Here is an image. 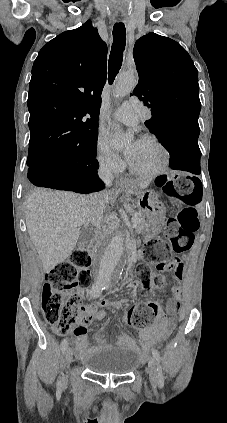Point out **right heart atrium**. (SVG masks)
Masks as SVG:
<instances>
[{
    "mask_svg": "<svg viewBox=\"0 0 227 423\" xmlns=\"http://www.w3.org/2000/svg\"><path fill=\"white\" fill-rule=\"evenodd\" d=\"M95 158L101 169L113 175H120L126 168L123 158L112 149L108 138L102 134L96 138Z\"/></svg>",
    "mask_w": 227,
    "mask_h": 423,
    "instance_id": "obj_1",
    "label": "right heart atrium"
}]
</instances>
